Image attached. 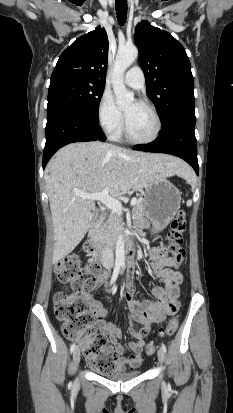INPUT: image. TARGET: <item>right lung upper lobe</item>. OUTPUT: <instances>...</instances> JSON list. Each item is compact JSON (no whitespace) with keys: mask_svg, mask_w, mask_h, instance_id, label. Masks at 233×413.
Returning a JSON list of instances; mask_svg holds the SVG:
<instances>
[{"mask_svg":"<svg viewBox=\"0 0 233 413\" xmlns=\"http://www.w3.org/2000/svg\"><path fill=\"white\" fill-rule=\"evenodd\" d=\"M107 56V34L105 29L98 26L63 51L52 73L51 82L75 79L105 85Z\"/></svg>","mask_w":233,"mask_h":413,"instance_id":"1","label":"right lung upper lobe"}]
</instances>
